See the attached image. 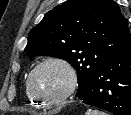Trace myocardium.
<instances>
[{"instance_id":"obj_1","label":"myocardium","mask_w":131,"mask_h":115,"mask_svg":"<svg viewBox=\"0 0 131 115\" xmlns=\"http://www.w3.org/2000/svg\"><path fill=\"white\" fill-rule=\"evenodd\" d=\"M51 64L58 65L61 68H63L67 74L68 81H67L66 87L58 96L54 98H42L34 91L32 80H33L34 75L39 69ZM77 84H78V76L73 65L66 59L61 58V57H56V56L47 57L41 60L39 63H37L36 66L30 71L26 80V86H27V90L29 94L38 103H40L43 106H48V107L59 105L60 103L65 101L70 95L73 94V92L75 91L77 87Z\"/></svg>"}]
</instances>
